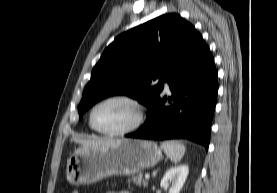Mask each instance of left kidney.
Instances as JSON below:
<instances>
[{
    "label": "left kidney",
    "instance_id": "1",
    "mask_svg": "<svg viewBox=\"0 0 277 193\" xmlns=\"http://www.w3.org/2000/svg\"><path fill=\"white\" fill-rule=\"evenodd\" d=\"M189 173L186 164H180L170 168L161 180V187L169 189V193H180Z\"/></svg>",
    "mask_w": 277,
    "mask_h": 193
}]
</instances>
